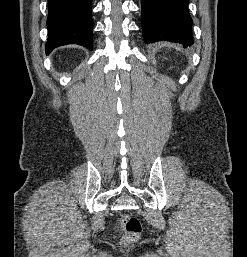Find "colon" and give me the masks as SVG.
<instances>
[{
	"mask_svg": "<svg viewBox=\"0 0 247 257\" xmlns=\"http://www.w3.org/2000/svg\"><path fill=\"white\" fill-rule=\"evenodd\" d=\"M120 226L123 230V236L121 243L123 245H129L136 242L142 232V224L140 220L129 214H125L120 219Z\"/></svg>",
	"mask_w": 247,
	"mask_h": 257,
	"instance_id": "obj_1",
	"label": "colon"
}]
</instances>
